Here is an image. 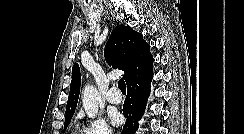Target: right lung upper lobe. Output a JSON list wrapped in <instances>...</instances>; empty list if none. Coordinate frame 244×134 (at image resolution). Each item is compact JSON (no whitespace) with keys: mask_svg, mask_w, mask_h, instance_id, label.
Returning <instances> with one entry per match:
<instances>
[{"mask_svg":"<svg viewBox=\"0 0 244 134\" xmlns=\"http://www.w3.org/2000/svg\"><path fill=\"white\" fill-rule=\"evenodd\" d=\"M142 34L130 26L119 25L111 33L106 46L105 58L109 65L125 72L127 86L153 74V57ZM81 75L78 64L72 68V81L66 106V116H73L80 93ZM65 116V117H66Z\"/></svg>","mask_w":244,"mask_h":134,"instance_id":"right-lung-upper-lobe-1","label":"right lung upper lobe"}]
</instances>
